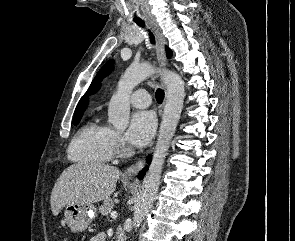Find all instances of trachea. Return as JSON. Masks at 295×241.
<instances>
[{
  "instance_id": "1",
  "label": "trachea",
  "mask_w": 295,
  "mask_h": 241,
  "mask_svg": "<svg viewBox=\"0 0 295 241\" xmlns=\"http://www.w3.org/2000/svg\"><path fill=\"white\" fill-rule=\"evenodd\" d=\"M135 22L140 27H145L144 21L137 20ZM150 41H151L152 44L155 43V38H154V36H153V34L151 32H150ZM163 99H164V91L162 89H157V91H156V100H157V102L160 104V103H162Z\"/></svg>"
}]
</instances>
